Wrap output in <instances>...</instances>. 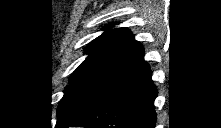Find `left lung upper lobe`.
<instances>
[{"label": "left lung upper lobe", "instance_id": "1", "mask_svg": "<svg viewBox=\"0 0 221 128\" xmlns=\"http://www.w3.org/2000/svg\"><path fill=\"white\" fill-rule=\"evenodd\" d=\"M85 52L89 56L73 72L59 102L56 127L61 128L144 61L142 45L126 28L105 31Z\"/></svg>", "mask_w": 221, "mask_h": 128}]
</instances>
